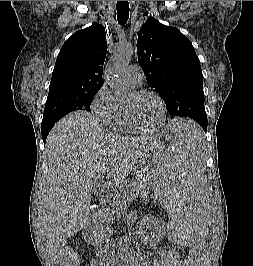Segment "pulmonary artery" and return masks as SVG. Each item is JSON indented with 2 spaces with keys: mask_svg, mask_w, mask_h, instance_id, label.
<instances>
[{
  "mask_svg": "<svg viewBox=\"0 0 253 266\" xmlns=\"http://www.w3.org/2000/svg\"><path fill=\"white\" fill-rule=\"evenodd\" d=\"M126 79L129 84L133 87L140 86L143 80V73L139 66L137 65H130L126 69Z\"/></svg>",
  "mask_w": 253,
  "mask_h": 266,
  "instance_id": "e3ab8cb5",
  "label": "pulmonary artery"
}]
</instances>
